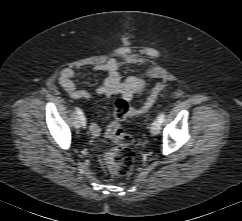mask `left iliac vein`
<instances>
[{"label": "left iliac vein", "instance_id": "left-iliac-vein-1", "mask_svg": "<svg viewBox=\"0 0 242 221\" xmlns=\"http://www.w3.org/2000/svg\"><path fill=\"white\" fill-rule=\"evenodd\" d=\"M161 130V124L159 120H154L151 124L150 131L152 135H158Z\"/></svg>", "mask_w": 242, "mask_h": 221}]
</instances>
